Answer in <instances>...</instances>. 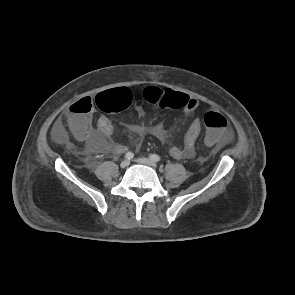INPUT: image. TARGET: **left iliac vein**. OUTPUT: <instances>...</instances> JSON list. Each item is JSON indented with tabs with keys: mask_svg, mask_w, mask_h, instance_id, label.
Segmentation results:
<instances>
[{
	"mask_svg": "<svg viewBox=\"0 0 295 295\" xmlns=\"http://www.w3.org/2000/svg\"><path fill=\"white\" fill-rule=\"evenodd\" d=\"M136 162H138L139 164H143V165H146V166H150V167H152V168H154V169L157 168L156 163H155L154 161L148 159V158H144V157H142V158H138V159H136Z\"/></svg>",
	"mask_w": 295,
	"mask_h": 295,
	"instance_id": "1",
	"label": "left iliac vein"
}]
</instances>
